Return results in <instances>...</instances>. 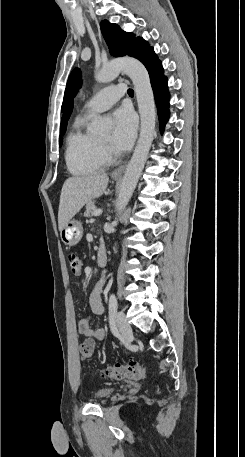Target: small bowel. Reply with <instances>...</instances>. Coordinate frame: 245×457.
Instances as JSON below:
<instances>
[{
	"label": "small bowel",
	"instance_id": "small-bowel-1",
	"mask_svg": "<svg viewBox=\"0 0 245 457\" xmlns=\"http://www.w3.org/2000/svg\"><path fill=\"white\" fill-rule=\"evenodd\" d=\"M105 278L102 276L95 284L89 296V305L93 315H102L105 307L102 302ZM91 316L83 318L78 323V331L86 337L101 341L105 338L106 332L103 328L93 329L90 325Z\"/></svg>",
	"mask_w": 245,
	"mask_h": 457
}]
</instances>
